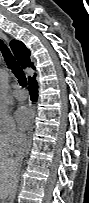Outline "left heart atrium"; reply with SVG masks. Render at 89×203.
<instances>
[{"label": "left heart atrium", "mask_w": 89, "mask_h": 203, "mask_svg": "<svg viewBox=\"0 0 89 203\" xmlns=\"http://www.w3.org/2000/svg\"><path fill=\"white\" fill-rule=\"evenodd\" d=\"M16 119L22 130L28 129L31 120L33 118V113L27 106H20L16 111Z\"/></svg>", "instance_id": "left-heart-atrium-1"}]
</instances>
